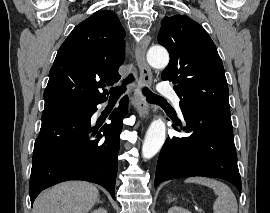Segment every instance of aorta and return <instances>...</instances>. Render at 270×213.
<instances>
[{
	"instance_id": "762f6f07",
	"label": "aorta",
	"mask_w": 270,
	"mask_h": 213,
	"mask_svg": "<svg viewBox=\"0 0 270 213\" xmlns=\"http://www.w3.org/2000/svg\"><path fill=\"white\" fill-rule=\"evenodd\" d=\"M148 63L156 69H164L169 63V54L165 48L155 46L149 49L147 53ZM166 138V126L161 118L155 119L149 126L143 146L142 156L150 159L161 149Z\"/></svg>"
}]
</instances>
